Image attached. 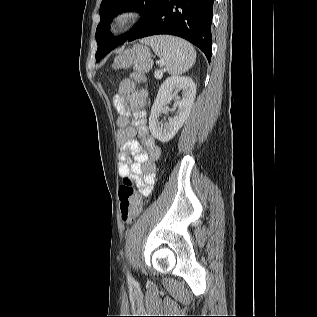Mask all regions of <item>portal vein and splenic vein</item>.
Returning <instances> with one entry per match:
<instances>
[{
  "label": "portal vein and splenic vein",
  "instance_id": "1",
  "mask_svg": "<svg viewBox=\"0 0 317 317\" xmlns=\"http://www.w3.org/2000/svg\"><path fill=\"white\" fill-rule=\"evenodd\" d=\"M162 76H163V74H162V72H161V71H157V72H155V78H157V79H161V78H162Z\"/></svg>",
  "mask_w": 317,
  "mask_h": 317
}]
</instances>
